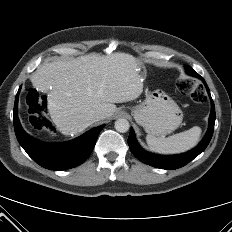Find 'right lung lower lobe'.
Masks as SVG:
<instances>
[{
	"mask_svg": "<svg viewBox=\"0 0 232 232\" xmlns=\"http://www.w3.org/2000/svg\"><path fill=\"white\" fill-rule=\"evenodd\" d=\"M20 91V89H19ZM14 105V129L20 145L39 165L51 170H65L82 164L91 154L104 125L64 143H44L29 136L21 127L18 115V94Z\"/></svg>",
	"mask_w": 232,
	"mask_h": 232,
	"instance_id": "98d812e1",
	"label": "right lung lower lobe"
}]
</instances>
